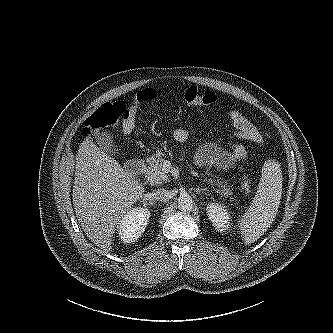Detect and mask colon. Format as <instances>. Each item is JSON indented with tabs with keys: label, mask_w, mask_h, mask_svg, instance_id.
I'll list each match as a JSON object with an SVG mask.
<instances>
[{
	"label": "colon",
	"mask_w": 333,
	"mask_h": 333,
	"mask_svg": "<svg viewBox=\"0 0 333 333\" xmlns=\"http://www.w3.org/2000/svg\"><path fill=\"white\" fill-rule=\"evenodd\" d=\"M179 97L191 106H227L226 101L217 98L212 91L202 90L195 86L179 89ZM157 97V91L146 88L139 91L132 104L125 102L105 103L99 107L86 121L83 129L84 137L97 136L106 130H116L124 134L130 133L136 124L138 108L141 104L152 101ZM241 184L244 190H251V179L248 173L242 177Z\"/></svg>",
	"instance_id": "colon-1"
}]
</instances>
